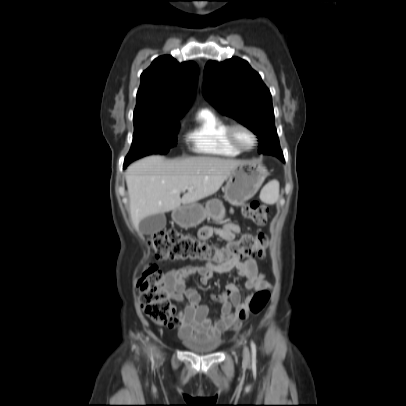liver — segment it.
<instances>
[{"mask_svg": "<svg viewBox=\"0 0 406 406\" xmlns=\"http://www.w3.org/2000/svg\"><path fill=\"white\" fill-rule=\"evenodd\" d=\"M241 160L197 156L168 160L149 156L131 164L125 173L130 216L135 227L148 216L193 204L216 193ZM187 193L180 198V193Z\"/></svg>", "mask_w": 406, "mask_h": 406, "instance_id": "obj_1", "label": "liver"}]
</instances>
